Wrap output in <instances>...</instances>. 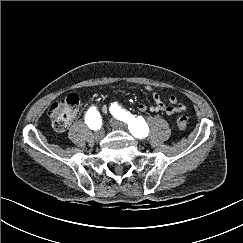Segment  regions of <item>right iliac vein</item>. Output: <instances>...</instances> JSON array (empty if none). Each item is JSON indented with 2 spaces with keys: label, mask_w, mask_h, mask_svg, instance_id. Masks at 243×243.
<instances>
[{
  "label": "right iliac vein",
  "mask_w": 243,
  "mask_h": 243,
  "mask_svg": "<svg viewBox=\"0 0 243 243\" xmlns=\"http://www.w3.org/2000/svg\"><path fill=\"white\" fill-rule=\"evenodd\" d=\"M104 130L103 129H99L94 133V138L96 141H100L103 137H104Z\"/></svg>",
  "instance_id": "obj_1"
}]
</instances>
